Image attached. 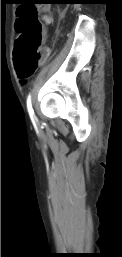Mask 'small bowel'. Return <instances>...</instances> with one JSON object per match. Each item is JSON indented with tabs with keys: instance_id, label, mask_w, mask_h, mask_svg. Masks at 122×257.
Masks as SVG:
<instances>
[{
	"instance_id": "1",
	"label": "small bowel",
	"mask_w": 122,
	"mask_h": 257,
	"mask_svg": "<svg viewBox=\"0 0 122 257\" xmlns=\"http://www.w3.org/2000/svg\"><path fill=\"white\" fill-rule=\"evenodd\" d=\"M43 13H44L43 16H42L43 21L46 24L52 23L53 19H52V15H51L50 11L47 8H44L43 9ZM42 53H43V58L42 59L46 58L48 56V54H49V49L45 48ZM20 78L21 79H25L26 77H20Z\"/></svg>"
}]
</instances>
